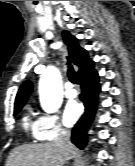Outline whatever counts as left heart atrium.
Returning <instances> with one entry per match:
<instances>
[{
  "mask_svg": "<svg viewBox=\"0 0 135 166\" xmlns=\"http://www.w3.org/2000/svg\"><path fill=\"white\" fill-rule=\"evenodd\" d=\"M80 114L79 107L76 103H70L64 111V123L68 126L72 125Z\"/></svg>",
  "mask_w": 135,
  "mask_h": 166,
  "instance_id": "obj_1",
  "label": "left heart atrium"
}]
</instances>
